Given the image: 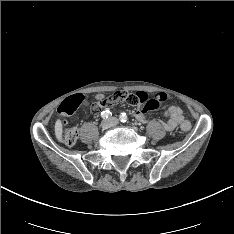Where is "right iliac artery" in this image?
Instances as JSON below:
<instances>
[{"label":"right iliac artery","instance_id":"82829eb1","mask_svg":"<svg viewBox=\"0 0 234 234\" xmlns=\"http://www.w3.org/2000/svg\"><path fill=\"white\" fill-rule=\"evenodd\" d=\"M111 116V112L109 111V110H105V111H103L102 113H101V117L103 118V119H107L108 117H110Z\"/></svg>","mask_w":234,"mask_h":234}]
</instances>
